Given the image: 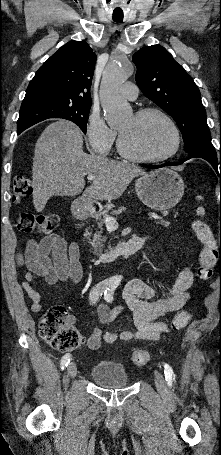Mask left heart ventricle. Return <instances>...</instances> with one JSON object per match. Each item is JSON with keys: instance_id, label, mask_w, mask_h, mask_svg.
Instances as JSON below:
<instances>
[{"instance_id": "b2bd125f", "label": "left heart ventricle", "mask_w": 221, "mask_h": 455, "mask_svg": "<svg viewBox=\"0 0 221 455\" xmlns=\"http://www.w3.org/2000/svg\"><path fill=\"white\" fill-rule=\"evenodd\" d=\"M126 148L141 156H160L168 153L174 144L168 124L157 115L144 118L128 117L118 128Z\"/></svg>"}]
</instances>
